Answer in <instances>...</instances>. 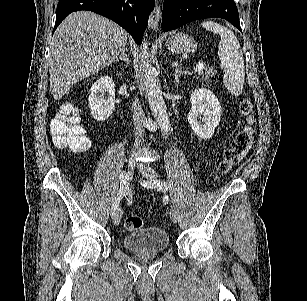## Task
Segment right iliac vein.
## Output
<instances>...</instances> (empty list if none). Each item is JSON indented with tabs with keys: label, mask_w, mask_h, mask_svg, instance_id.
Masks as SVG:
<instances>
[{
	"label": "right iliac vein",
	"mask_w": 307,
	"mask_h": 301,
	"mask_svg": "<svg viewBox=\"0 0 307 301\" xmlns=\"http://www.w3.org/2000/svg\"><path fill=\"white\" fill-rule=\"evenodd\" d=\"M134 169H135V161L133 159H131L128 164H127V172L124 174L123 178H121V187L124 185L125 183V193L127 191V185L129 184V179L133 176L134 173ZM121 216H122V212L120 209H118L115 214H114V218H113V222L115 226H118L120 221H121Z\"/></svg>",
	"instance_id": "1"
}]
</instances>
